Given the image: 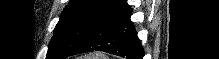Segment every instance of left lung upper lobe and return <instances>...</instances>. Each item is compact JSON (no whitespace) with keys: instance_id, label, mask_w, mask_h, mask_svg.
Here are the masks:
<instances>
[{"instance_id":"left-lung-upper-lobe-1","label":"left lung upper lobe","mask_w":219,"mask_h":59,"mask_svg":"<svg viewBox=\"0 0 219 59\" xmlns=\"http://www.w3.org/2000/svg\"><path fill=\"white\" fill-rule=\"evenodd\" d=\"M111 0H70L60 16L46 59H65L94 30Z\"/></svg>"}]
</instances>
